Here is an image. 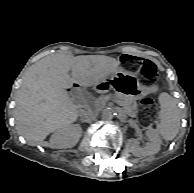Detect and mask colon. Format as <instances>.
<instances>
[{"mask_svg": "<svg viewBox=\"0 0 194 193\" xmlns=\"http://www.w3.org/2000/svg\"><path fill=\"white\" fill-rule=\"evenodd\" d=\"M123 65L126 69L138 73L145 82H151L156 78V67L148 60L127 56L123 60ZM154 102L150 97H145L142 100V106L146 109L148 118L154 117L155 112L152 110Z\"/></svg>", "mask_w": 194, "mask_h": 193, "instance_id": "1", "label": "colon"}]
</instances>
